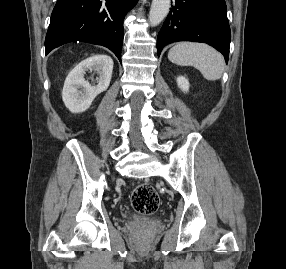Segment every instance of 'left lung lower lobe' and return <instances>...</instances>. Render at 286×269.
Segmentation results:
<instances>
[{
	"instance_id": "left-lung-lower-lobe-1",
	"label": "left lung lower lobe",
	"mask_w": 286,
	"mask_h": 269,
	"mask_svg": "<svg viewBox=\"0 0 286 269\" xmlns=\"http://www.w3.org/2000/svg\"><path fill=\"white\" fill-rule=\"evenodd\" d=\"M157 38L158 57L176 41L204 42L228 62L231 39L225 0H175Z\"/></svg>"
}]
</instances>
